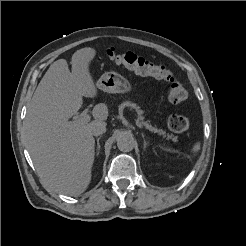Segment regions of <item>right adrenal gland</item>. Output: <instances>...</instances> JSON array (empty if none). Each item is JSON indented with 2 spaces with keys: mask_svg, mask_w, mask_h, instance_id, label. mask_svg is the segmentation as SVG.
I'll use <instances>...</instances> for the list:
<instances>
[{
  "mask_svg": "<svg viewBox=\"0 0 246 246\" xmlns=\"http://www.w3.org/2000/svg\"><path fill=\"white\" fill-rule=\"evenodd\" d=\"M100 138H101V136L96 139V141H97V155L99 154V150H100V143H99Z\"/></svg>",
  "mask_w": 246,
  "mask_h": 246,
  "instance_id": "right-adrenal-gland-1",
  "label": "right adrenal gland"
}]
</instances>
